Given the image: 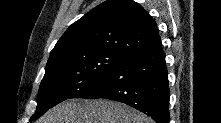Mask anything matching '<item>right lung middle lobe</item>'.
<instances>
[{
	"instance_id": "1",
	"label": "right lung middle lobe",
	"mask_w": 221,
	"mask_h": 123,
	"mask_svg": "<svg viewBox=\"0 0 221 123\" xmlns=\"http://www.w3.org/2000/svg\"><path fill=\"white\" fill-rule=\"evenodd\" d=\"M126 57V54L111 49L96 48L48 61L39 88L37 109L31 121L64 100L86 98L93 94L99 81Z\"/></svg>"
}]
</instances>
